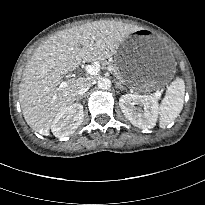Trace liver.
Segmentation results:
<instances>
[{
	"instance_id": "1",
	"label": "liver",
	"mask_w": 205,
	"mask_h": 205,
	"mask_svg": "<svg viewBox=\"0 0 205 205\" xmlns=\"http://www.w3.org/2000/svg\"><path fill=\"white\" fill-rule=\"evenodd\" d=\"M140 28L117 21H94L62 30L41 44L28 61L19 86L27 124L48 136L54 117L77 100L83 79L62 82L82 61L105 60ZM82 46V47H81Z\"/></svg>"
}]
</instances>
